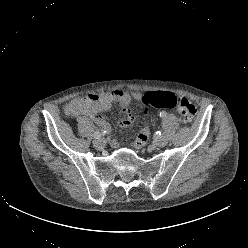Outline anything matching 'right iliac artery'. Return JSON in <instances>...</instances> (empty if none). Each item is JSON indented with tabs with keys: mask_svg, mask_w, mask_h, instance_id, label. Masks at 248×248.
<instances>
[{
	"mask_svg": "<svg viewBox=\"0 0 248 248\" xmlns=\"http://www.w3.org/2000/svg\"><path fill=\"white\" fill-rule=\"evenodd\" d=\"M94 137L95 138H100L101 137V133L99 131L94 132Z\"/></svg>",
	"mask_w": 248,
	"mask_h": 248,
	"instance_id": "82829eb1",
	"label": "right iliac artery"
}]
</instances>
